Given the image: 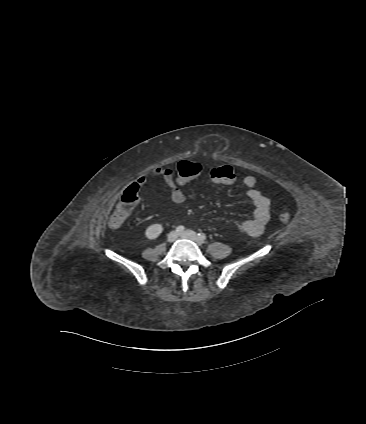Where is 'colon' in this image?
<instances>
[{
    "mask_svg": "<svg viewBox=\"0 0 366 424\" xmlns=\"http://www.w3.org/2000/svg\"><path fill=\"white\" fill-rule=\"evenodd\" d=\"M200 173L201 166L198 163L189 160H181L176 165V177L180 183H185L197 177ZM210 175L214 181L219 183H232L235 180L234 170L225 165L214 167L210 171ZM137 201V187L132 185L122 195L120 202L109 218V225L112 228L121 226L134 210ZM290 218L291 211L288 207L284 206L278 215V219L281 223L286 224L290 221Z\"/></svg>",
    "mask_w": 366,
    "mask_h": 424,
    "instance_id": "colon-1",
    "label": "colon"
}]
</instances>
